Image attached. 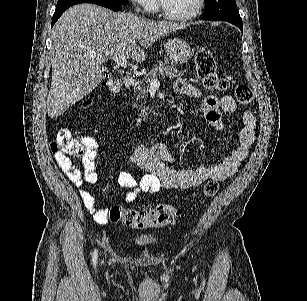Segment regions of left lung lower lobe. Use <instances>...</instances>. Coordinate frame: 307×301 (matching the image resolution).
<instances>
[{
	"label": "left lung lower lobe",
	"instance_id": "left-lung-lower-lobe-1",
	"mask_svg": "<svg viewBox=\"0 0 307 301\" xmlns=\"http://www.w3.org/2000/svg\"><path fill=\"white\" fill-rule=\"evenodd\" d=\"M232 24L236 25L241 30V32L243 33L242 22H236V23H232Z\"/></svg>",
	"mask_w": 307,
	"mask_h": 301
}]
</instances>
